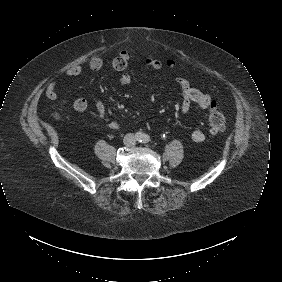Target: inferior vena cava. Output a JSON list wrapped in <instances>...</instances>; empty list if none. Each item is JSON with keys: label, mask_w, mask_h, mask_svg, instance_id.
<instances>
[{"label": "inferior vena cava", "mask_w": 282, "mask_h": 282, "mask_svg": "<svg viewBox=\"0 0 282 282\" xmlns=\"http://www.w3.org/2000/svg\"><path fill=\"white\" fill-rule=\"evenodd\" d=\"M124 144L127 147H133L136 144V138L133 133H128L124 137Z\"/></svg>", "instance_id": "obj_1"}]
</instances>
